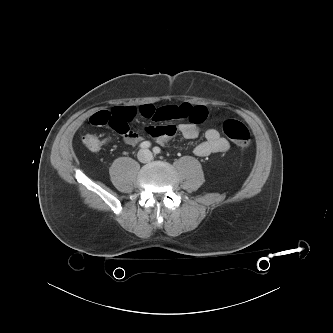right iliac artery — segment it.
<instances>
[{
  "instance_id": "1",
  "label": "right iliac artery",
  "mask_w": 333,
  "mask_h": 333,
  "mask_svg": "<svg viewBox=\"0 0 333 333\" xmlns=\"http://www.w3.org/2000/svg\"><path fill=\"white\" fill-rule=\"evenodd\" d=\"M150 146H151V143L149 141H144L139 145V147L142 149L150 148Z\"/></svg>"
}]
</instances>
